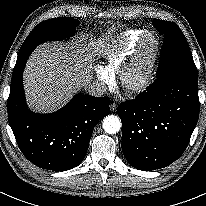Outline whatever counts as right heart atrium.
<instances>
[{
	"mask_svg": "<svg viewBox=\"0 0 206 206\" xmlns=\"http://www.w3.org/2000/svg\"><path fill=\"white\" fill-rule=\"evenodd\" d=\"M96 74L102 85H111L113 83V76L107 74L103 69H96Z\"/></svg>",
	"mask_w": 206,
	"mask_h": 206,
	"instance_id": "obj_1",
	"label": "right heart atrium"
}]
</instances>
